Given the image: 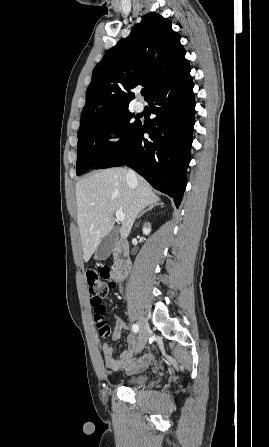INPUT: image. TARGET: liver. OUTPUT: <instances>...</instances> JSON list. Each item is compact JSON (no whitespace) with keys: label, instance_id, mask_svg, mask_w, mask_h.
Returning a JSON list of instances; mask_svg holds the SVG:
<instances>
[{"label":"liver","instance_id":"liver-1","mask_svg":"<svg viewBox=\"0 0 269 447\" xmlns=\"http://www.w3.org/2000/svg\"><path fill=\"white\" fill-rule=\"evenodd\" d=\"M125 168L96 170L76 184L77 224L84 261H89L100 241L115 224L114 212L125 214L120 227L121 237L129 235L139 212L159 202L148 182L137 176L128 182Z\"/></svg>","mask_w":269,"mask_h":447}]
</instances>
